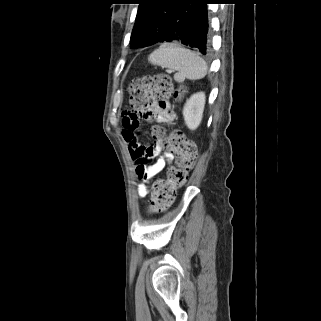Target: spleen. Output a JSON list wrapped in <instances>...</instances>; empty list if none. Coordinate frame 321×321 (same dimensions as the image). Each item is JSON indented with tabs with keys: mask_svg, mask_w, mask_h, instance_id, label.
Here are the masks:
<instances>
[{
	"mask_svg": "<svg viewBox=\"0 0 321 321\" xmlns=\"http://www.w3.org/2000/svg\"><path fill=\"white\" fill-rule=\"evenodd\" d=\"M148 61L152 65L178 71L175 76L176 80L201 79L205 77L208 71L204 59L177 43L161 44L148 56Z\"/></svg>",
	"mask_w": 321,
	"mask_h": 321,
	"instance_id": "3e777b00",
	"label": "spleen"
}]
</instances>
